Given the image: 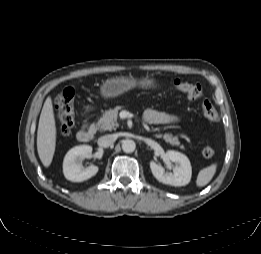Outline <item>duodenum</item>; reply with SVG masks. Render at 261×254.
Returning a JSON list of instances; mask_svg holds the SVG:
<instances>
[{"instance_id":"duodenum-1","label":"duodenum","mask_w":261,"mask_h":254,"mask_svg":"<svg viewBox=\"0 0 261 254\" xmlns=\"http://www.w3.org/2000/svg\"><path fill=\"white\" fill-rule=\"evenodd\" d=\"M94 135H95L94 127L88 126V127H84L79 131L78 139L83 143H88L94 138Z\"/></svg>"}]
</instances>
